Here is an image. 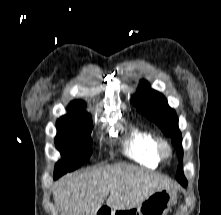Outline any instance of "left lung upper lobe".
I'll use <instances>...</instances> for the list:
<instances>
[{
  "instance_id": "5c2ea615",
  "label": "left lung upper lobe",
  "mask_w": 221,
  "mask_h": 215,
  "mask_svg": "<svg viewBox=\"0 0 221 215\" xmlns=\"http://www.w3.org/2000/svg\"><path fill=\"white\" fill-rule=\"evenodd\" d=\"M131 102L137 110L149 120L154 121L166 136H170L173 145L177 149L178 158L183 157L182 137L178 128V118L175 111L171 109L166 98L159 92L148 89V83L142 81L138 92L132 96ZM177 180L186 181L182 165L177 169Z\"/></svg>"
}]
</instances>
